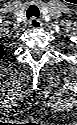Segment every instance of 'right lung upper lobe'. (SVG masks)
Returning <instances> with one entry per match:
<instances>
[{
	"instance_id": "right-lung-upper-lobe-1",
	"label": "right lung upper lobe",
	"mask_w": 77,
	"mask_h": 125,
	"mask_svg": "<svg viewBox=\"0 0 77 125\" xmlns=\"http://www.w3.org/2000/svg\"><path fill=\"white\" fill-rule=\"evenodd\" d=\"M0 50H1V53H4V52H5L2 48H1Z\"/></svg>"
}]
</instances>
